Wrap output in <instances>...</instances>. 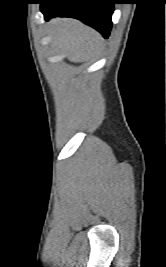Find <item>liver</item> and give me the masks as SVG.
Returning <instances> with one entry per match:
<instances>
[{
	"label": "liver",
	"instance_id": "1",
	"mask_svg": "<svg viewBox=\"0 0 166 267\" xmlns=\"http://www.w3.org/2000/svg\"><path fill=\"white\" fill-rule=\"evenodd\" d=\"M50 33L53 45L62 49L75 63L83 62L97 52L103 41L98 32L75 19H53Z\"/></svg>",
	"mask_w": 166,
	"mask_h": 267
}]
</instances>
